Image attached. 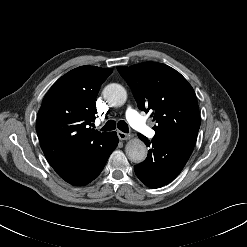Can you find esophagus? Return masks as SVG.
<instances>
[{
  "label": "esophagus",
  "mask_w": 247,
  "mask_h": 247,
  "mask_svg": "<svg viewBox=\"0 0 247 247\" xmlns=\"http://www.w3.org/2000/svg\"><path fill=\"white\" fill-rule=\"evenodd\" d=\"M117 135H118V138L120 140H128V139L132 138L131 134H127V133H124L122 131H117Z\"/></svg>",
  "instance_id": "obj_1"
}]
</instances>
